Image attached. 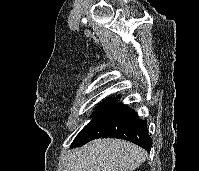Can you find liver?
Masks as SVG:
<instances>
[{
	"label": "liver",
	"instance_id": "obj_1",
	"mask_svg": "<svg viewBox=\"0 0 199 171\" xmlns=\"http://www.w3.org/2000/svg\"><path fill=\"white\" fill-rule=\"evenodd\" d=\"M146 158L141 147L120 139H97L74 149L68 171H133Z\"/></svg>",
	"mask_w": 199,
	"mask_h": 171
}]
</instances>
